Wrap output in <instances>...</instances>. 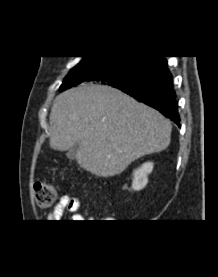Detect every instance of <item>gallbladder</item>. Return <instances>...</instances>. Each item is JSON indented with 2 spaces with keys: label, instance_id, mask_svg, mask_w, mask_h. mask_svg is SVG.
<instances>
[{
  "label": "gallbladder",
  "instance_id": "1",
  "mask_svg": "<svg viewBox=\"0 0 218 277\" xmlns=\"http://www.w3.org/2000/svg\"><path fill=\"white\" fill-rule=\"evenodd\" d=\"M79 146H80L79 142H76L75 145L72 148H70L66 153V156L70 160H75Z\"/></svg>",
  "mask_w": 218,
  "mask_h": 277
}]
</instances>
